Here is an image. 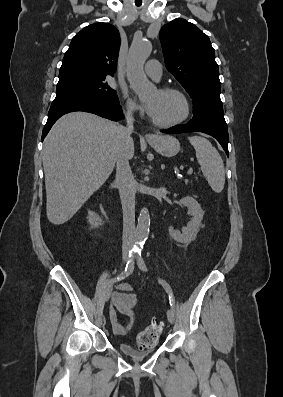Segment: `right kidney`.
Wrapping results in <instances>:
<instances>
[{
	"mask_svg": "<svg viewBox=\"0 0 283 397\" xmlns=\"http://www.w3.org/2000/svg\"><path fill=\"white\" fill-rule=\"evenodd\" d=\"M87 220L92 228H98L99 226L103 225L102 219L99 216L95 215V213H93L92 211H88Z\"/></svg>",
	"mask_w": 283,
	"mask_h": 397,
	"instance_id": "ca27d5eb",
	"label": "right kidney"
}]
</instances>
